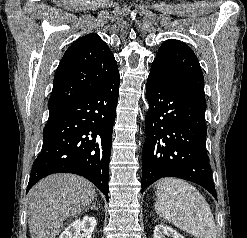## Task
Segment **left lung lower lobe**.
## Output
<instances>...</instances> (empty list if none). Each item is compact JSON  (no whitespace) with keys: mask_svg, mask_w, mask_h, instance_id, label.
Instances as JSON below:
<instances>
[{"mask_svg":"<svg viewBox=\"0 0 247 238\" xmlns=\"http://www.w3.org/2000/svg\"><path fill=\"white\" fill-rule=\"evenodd\" d=\"M146 95L142 192L160 178L201 185L217 198L206 151L205 98L151 67Z\"/></svg>","mask_w":247,"mask_h":238,"instance_id":"left-lung-lower-lobe-1","label":"left lung lower lobe"}]
</instances>
